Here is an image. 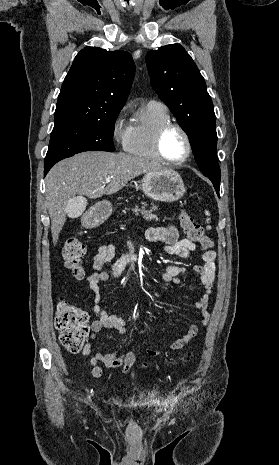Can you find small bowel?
I'll return each instance as SVG.
<instances>
[{
  "mask_svg": "<svg viewBox=\"0 0 279 465\" xmlns=\"http://www.w3.org/2000/svg\"><path fill=\"white\" fill-rule=\"evenodd\" d=\"M146 239L150 243L160 244L166 253L183 259L190 258L196 249V245L191 239L180 238L178 229L174 225L149 228L146 232ZM115 251L116 247L112 243L101 245L93 259L95 271L87 276L89 288L94 296L93 312L96 318L91 324L90 341L85 344L82 350L84 356L91 354L92 341L96 339L98 333L102 330H117L121 334H125L128 329L125 320L101 307L100 283L109 278L106 264L114 258ZM201 259L203 264L193 268V271L199 275L200 284L203 287L202 295L195 302V307L201 316L198 318L197 323L190 324L186 332L172 342L170 345L171 351L181 350L198 334L200 327L206 326L209 321L207 307L215 278L216 253L213 250H205L201 255ZM185 271V268L181 266L168 265L162 272L161 278L166 283H179V276ZM147 353L150 357H155L161 353V350L150 348ZM135 362L136 356L132 351L97 352L90 357L91 373L94 378H100L103 374L101 367V364H103L110 369L120 368L123 373L127 374L134 367ZM146 365V362L143 363V367Z\"/></svg>",
  "mask_w": 279,
  "mask_h": 465,
  "instance_id": "c3829d8e",
  "label": "small bowel"
}]
</instances>
